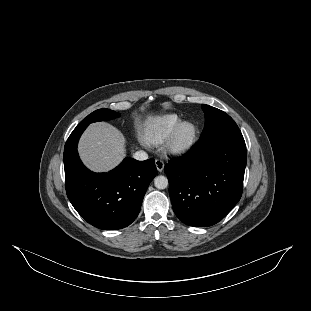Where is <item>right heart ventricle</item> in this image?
Returning a JSON list of instances; mask_svg holds the SVG:
<instances>
[{"label": "right heart ventricle", "mask_w": 311, "mask_h": 311, "mask_svg": "<svg viewBox=\"0 0 311 311\" xmlns=\"http://www.w3.org/2000/svg\"><path fill=\"white\" fill-rule=\"evenodd\" d=\"M183 121L176 113L150 116L141 125L142 137L152 144H161L171 137Z\"/></svg>", "instance_id": "e07e8e85"}]
</instances>
